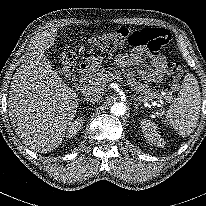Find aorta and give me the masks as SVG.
<instances>
[{
	"mask_svg": "<svg viewBox=\"0 0 206 206\" xmlns=\"http://www.w3.org/2000/svg\"><path fill=\"white\" fill-rule=\"evenodd\" d=\"M110 111L113 115L122 116L126 113V105L123 102L114 103Z\"/></svg>",
	"mask_w": 206,
	"mask_h": 206,
	"instance_id": "762f6f07",
	"label": "aorta"
}]
</instances>
